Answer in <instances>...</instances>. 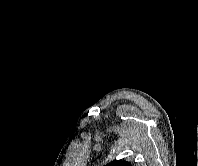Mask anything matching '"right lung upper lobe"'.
<instances>
[{"label": "right lung upper lobe", "instance_id": "obj_1", "mask_svg": "<svg viewBox=\"0 0 198 166\" xmlns=\"http://www.w3.org/2000/svg\"><path fill=\"white\" fill-rule=\"evenodd\" d=\"M107 166H132L129 162L121 161V160H116Z\"/></svg>", "mask_w": 198, "mask_h": 166}]
</instances>
